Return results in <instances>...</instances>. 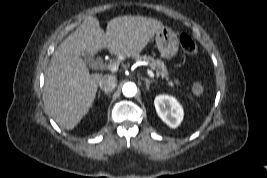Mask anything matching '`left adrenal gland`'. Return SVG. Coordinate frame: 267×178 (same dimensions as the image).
Segmentation results:
<instances>
[{"mask_svg":"<svg viewBox=\"0 0 267 178\" xmlns=\"http://www.w3.org/2000/svg\"><path fill=\"white\" fill-rule=\"evenodd\" d=\"M146 83V89L149 90L150 84L155 82V80H149L148 78H144Z\"/></svg>","mask_w":267,"mask_h":178,"instance_id":"1","label":"left adrenal gland"}]
</instances>
